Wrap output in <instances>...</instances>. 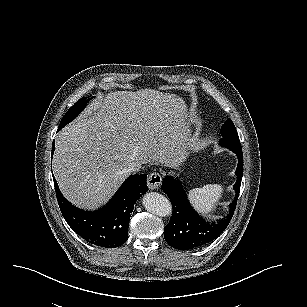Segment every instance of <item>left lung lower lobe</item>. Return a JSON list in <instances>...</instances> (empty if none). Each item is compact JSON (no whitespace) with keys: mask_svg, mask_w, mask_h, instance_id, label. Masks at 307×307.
Returning a JSON list of instances; mask_svg holds the SVG:
<instances>
[{"mask_svg":"<svg viewBox=\"0 0 307 307\" xmlns=\"http://www.w3.org/2000/svg\"><path fill=\"white\" fill-rule=\"evenodd\" d=\"M234 153L238 157L237 182L234 185L236 197L229 205V214L218 223H207L192 209L178 180L173 177L163 180L162 190L169 197L173 207L171 220L164 228V238L171 247L178 250L198 249L211 243L226 229L236 208L243 176L242 151Z\"/></svg>","mask_w":307,"mask_h":307,"instance_id":"left-lung-lower-lobe-1","label":"left lung lower lobe"}]
</instances>
